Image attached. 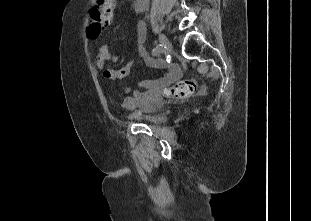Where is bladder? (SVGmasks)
<instances>
[{
    "label": "bladder",
    "instance_id": "obj_1",
    "mask_svg": "<svg viewBox=\"0 0 311 221\" xmlns=\"http://www.w3.org/2000/svg\"><path fill=\"white\" fill-rule=\"evenodd\" d=\"M164 102L154 103L151 107L146 109H141L132 114L135 118H141L144 124H163L165 122V117L161 116L162 106Z\"/></svg>",
    "mask_w": 311,
    "mask_h": 221
}]
</instances>
